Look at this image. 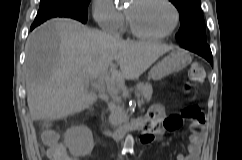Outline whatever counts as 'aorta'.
I'll use <instances>...</instances> for the list:
<instances>
[{
    "mask_svg": "<svg viewBox=\"0 0 242 160\" xmlns=\"http://www.w3.org/2000/svg\"><path fill=\"white\" fill-rule=\"evenodd\" d=\"M134 147V138L131 134H128L125 138L123 148L125 150H132Z\"/></svg>",
    "mask_w": 242,
    "mask_h": 160,
    "instance_id": "762f6f07",
    "label": "aorta"
}]
</instances>
